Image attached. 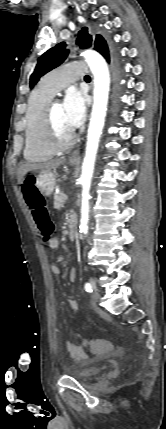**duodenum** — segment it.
Listing matches in <instances>:
<instances>
[{
	"mask_svg": "<svg viewBox=\"0 0 166 429\" xmlns=\"http://www.w3.org/2000/svg\"><path fill=\"white\" fill-rule=\"evenodd\" d=\"M76 231H77V216L74 213H71L69 216V229H68V236L71 240L75 238Z\"/></svg>",
	"mask_w": 166,
	"mask_h": 429,
	"instance_id": "obj_1",
	"label": "duodenum"
}]
</instances>
